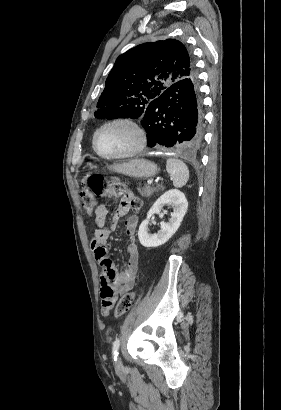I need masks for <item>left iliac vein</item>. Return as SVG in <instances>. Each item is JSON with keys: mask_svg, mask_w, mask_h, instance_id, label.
<instances>
[{"mask_svg": "<svg viewBox=\"0 0 281 410\" xmlns=\"http://www.w3.org/2000/svg\"><path fill=\"white\" fill-rule=\"evenodd\" d=\"M115 368H116L117 370L123 369V364H122V361H121V358H120V357H118V359L116 360Z\"/></svg>", "mask_w": 281, "mask_h": 410, "instance_id": "1", "label": "left iliac vein"}]
</instances>
